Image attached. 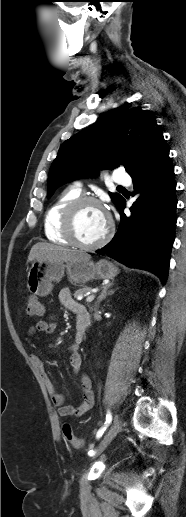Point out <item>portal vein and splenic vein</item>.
<instances>
[{"label": "portal vein and splenic vein", "instance_id": "18ae733b", "mask_svg": "<svg viewBox=\"0 0 186 517\" xmlns=\"http://www.w3.org/2000/svg\"><path fill=\"white\" fill-rule=\"evenodd\" d=\"M94 298H95V295H93V294H92V295H89V296L86 298V302H88V303H89V302H92V301L94 300Z\"/></svg>", "mask_w": 186, "mask_h": 517}]
</instances>
